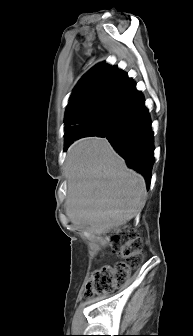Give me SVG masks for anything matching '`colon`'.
Returning a JSON list of instances; mask_svg holds the SVG:
<instances>
[{
  "label": "colon",
  "instance_id": "1",
  "mask_svg": "<svg viewBox=\"0 0 193 336\" xmlns=\"http://www.w3.org/2000/svg\"><path fill=\"white\" fill-rule=\"evenodd\" d=\"M113 251L120 258L114 264H106L95 269L87 282L85 298L111 291L128 279L133 268L143 259L142 242L136 233L121 229L112 238Z\"/></svg>",
  "mask_w": 193,
  "mask_h": 336
}]
</instances>
